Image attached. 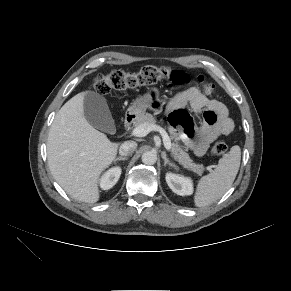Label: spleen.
Masks as SVG:
<instances>
[{
    "label": "spleen",
    "instance_id": "1",
    "mask_svg": "<svg viewBox=\"0 0 291 291\" xmlns=\"http://www.w3.org/2000/svg\"><path fill=\"white\" fill-rule=\"evenodd\" d=\"M241 149L233 146L219 159L216 168L203 176L197 185L194 203L197 207H205L220 199L232 186L240 167Z\"/></svg>",
    "mask_w": 291,
    "mask_h": 291
}]
</instances>
